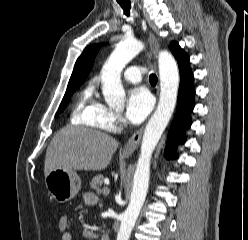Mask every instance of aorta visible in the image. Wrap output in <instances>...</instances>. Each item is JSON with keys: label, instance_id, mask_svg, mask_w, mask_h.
<instances>
[{"label": "aorta", "instance_id": "1", "mask_svg": "<svg viewBox=\"0 0 248 240\" xmlns=\"http://www.w3.org/2000/svg\"><path fill=\"white\" fill-rule=\"evenodd\" d=\"M144 48L136 39L120 43L101 70L102 93L112 107H122L125 91L121 82L123 68ZM160 99L147 123L141 143V152L133 179L130 203L124 212L117 240H129L132 229L144 204L150 178L152 153L173 114L179 88V72L175 59L167 51L159 53Z\"/></svg>", "mask_w": 248, "mask_h": 240}]
</instances>
